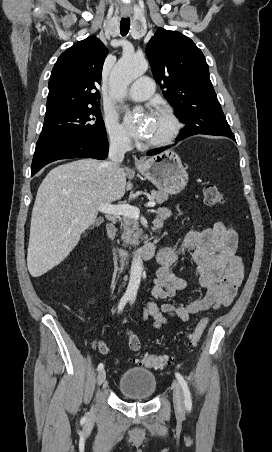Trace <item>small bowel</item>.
<instances>
[{
    "label": "small bowel",
    "instance_id": "1",
    "mask_svg": "<svg viewBox=\"0 0 272 452\" xmlns=\"http://www.w3.org/2000/svg\"><path fill=\"white\" fill-rule=\"evenodd\" d=\"M171 215L172 211L163 207L159 209L157 219L164 224ZM237 248V231L232 225L222 222L201 230L190 229L179 244L161 248L157 254L160 267L141 319L145 322L151 319L154 328H161L168 318L188 321L192 315L201 311L229 305L244 279V264L237 254ZM186 254L191 255L190 262L195 267V279L192 281L173 271L174 266ZM189 286L200 287L207 293L201 299L185 304H157L160 300L174 297L177 292ZM97 301L92 300L90 304ZM126 337L132 350L134 341L140 344L139 337L132 330L126 331ZM100 347L103 349L102 353L110 352L107 345L101 344Z\"/></svg>",
    "mask_w": 272,
    "mask_h": 452
}]
</instances>
